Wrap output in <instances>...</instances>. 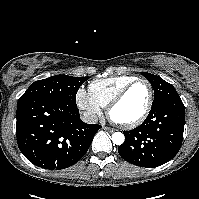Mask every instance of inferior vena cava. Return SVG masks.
Returning a JSON list of instances; mask_svg holds the SVG:
<instances>
[{
	"label": "inferior vena cava",
	"mask_w": 199,
	"mask_h": 199,
	"mask_svg": "<svg viewBox=\"0 0 199 199\" xmlns=\"http://www.w3.org/2000/svg\"><path fill=\"white\" fill-rule=\"evenodd\" d=\"M81 120L84 123H88V124H95L98 122V117L95 113L92 112H83L81 115Z\"/></svg>",
	"instance_id": "inferior-vena-cava-1"
}]
</instances>
